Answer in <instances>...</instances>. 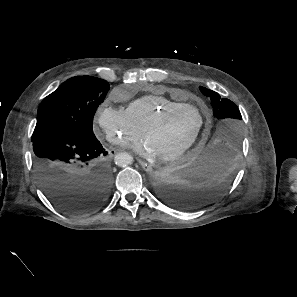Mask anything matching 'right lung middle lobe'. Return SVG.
Returning a JSON list of instances; mask_svg holds the SVG:
<instances>
[{"instance_id":"1","label":"right lung middle lobe","mask_w":297,"mask_h":297,"mask_svg":"<svg viewBox=\"0 0 297 297\" xmlns=\"http://www.w3.org/2000/svg\"><path fill=\"white\" fill-rule=\"evenodd\" d=\"M108 90L107 81L92 76H76L62 83L40 104L32 138L56 131L95 138L93 117Z\"/></svg>"}]
</instances>
